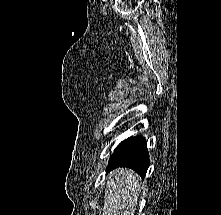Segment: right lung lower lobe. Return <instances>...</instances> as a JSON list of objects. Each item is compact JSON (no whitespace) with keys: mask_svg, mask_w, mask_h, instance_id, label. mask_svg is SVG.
<instances>
[{"mask_svg":"<svg viewBox=\"0 0 221 215\" xmlns=\"http://www.w3.org/2000/svg\"><path fill=\"white\" fill-rule=\"evenodd\" d=\"M117 167L131 168L140 176L145 177L149 167V156L144 137L128 138L119 144L109 160L107 170Z\"/></svg>","mask_w":221,"mask_h":215,"instance_id":"right-lung-lower-lobe-1","label":"right lung lower lobe"}]
</instances>
